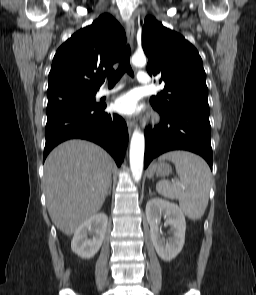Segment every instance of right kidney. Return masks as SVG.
<instances>
[{
	"label": "right kidney",
	"instance_id": "obj_1",
	"mask_svg": "<svg viewBox=\"0 0 256 295\" xmlns=\"http://www.w3.org/2000/svg\"><path fill=\"white\" fill-rule=\"evenodd\" d=\"M107 223L108 217L103 212L86 220L74 233L71 241L72 251L83 259L94 257L103 243ZM88 235L91 237L88 238Z\"/></svg>",
	"mask_w": 256,
	"mask_h": 295
}]
</instances>
